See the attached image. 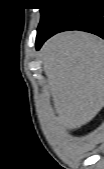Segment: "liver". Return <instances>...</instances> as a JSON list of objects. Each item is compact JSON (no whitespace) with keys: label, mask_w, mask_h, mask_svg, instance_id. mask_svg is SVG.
<instances>
[{"label":"liver","mask_w":104,"mask_h":169,"mask_svg":"<svg viewBox=\"0 0 104 169\" xmlns=\"http://www.w3.org/2000/svg\"><path fill=\"white\" fill-rule=\"evenodd\" d=\"M41 59L57 114L54 123L75 130L90 122L104 104V43L81 32L50 38Z\"/></svg>","instance_id":"6515ba94"}]
</instances>
